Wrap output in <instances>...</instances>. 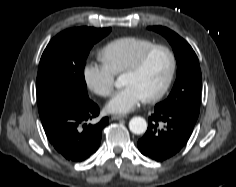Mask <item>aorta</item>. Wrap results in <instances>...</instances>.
Masks as SVG:
<instances>
[{
  "label": "aorta",
  "instance_id": "1",
  "mask_svg": "<svg viewBox=\"0 0 236 187\" xmlns=\"http://www.w3.org/2000/svg\"><path fill=\"white\" fill-rule=\"evenodd\" d=\"M116 86L118 87L119 83H116ZM129 129L134 134H143L147 130V122L142 117H133L129 122Z\"/></svg>",
  "mask_w": 236,
  "mask_h": 187
}]
</instances>
